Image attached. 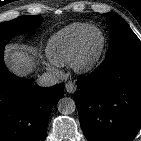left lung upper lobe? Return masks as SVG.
Wrapping results in <instances>:
<instances>
[{
	"instance_id": "left-lung-upper-lobe-1",
	"label": "left lung upper lobe",
	"mask_w": 141,
	"mask_h": 141,
	"mask_svg": "<svg viewBox=\"0 0 141 141\" xmlns=\"http://www.w3.org/2000/svg\"><path fill=\"white\" fill-rule=\"evenodd\" d=\"M110 26V44L105 59L125 53L141 54V42L125 21L115 13H106Z\"/></svg>"
}]
</instances>
